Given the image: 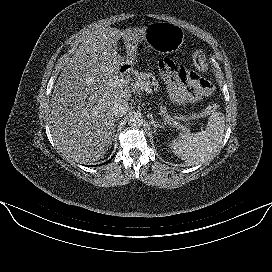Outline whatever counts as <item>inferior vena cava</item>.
Segmentation results:
<instances>
[{"instance_id": "602c4592", "label": "inferior vena cava", "mask_w": 272, "mask_h": 272, "mask_svg": "<svg viewBox=\"0 0 272 272\" xmlns=\"http://www.w3.org/2000/svg\"><path fill=\"white\" fill-rule=\"evenodd\" d=\"M128 108V102L123 99H119L113 103L112 113L115 117H122L127 113Z\"/></svg>"}]
</instances>
